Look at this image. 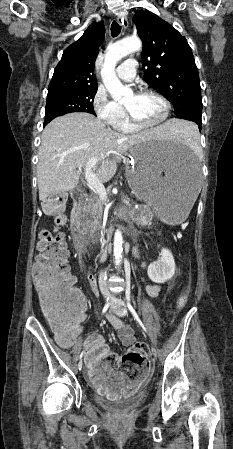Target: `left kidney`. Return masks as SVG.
Masks as SVG:
<instances>
[{
    "label": "left kidney",
    "mask_w": 233,
    "mask_h": 449,
    "mask_svg": "<svg viewBox=\"0 0 233 449\" xmlns=\"http://www.w3.org/2000/svg\"><path fill=\"white\" fill-rule=\"evenodd\" d=\"M175 260L170 250L162 248L161 257L148 266L147 274L154 283L162 284L175 274Z\"/></svg>",
    "instance_id": "1"
}]
</instances>
